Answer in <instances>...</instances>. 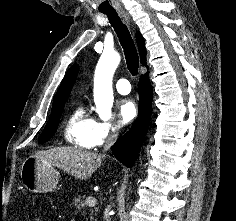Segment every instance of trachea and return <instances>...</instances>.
<instances>
[{
  "instance_id": "trachea-1",
  "label": "trachea",
  "mask_w": 236,
  "mask_h": 221,
  "mask_svg": "<svg viewBox=\"0 0 236 221\" xmlns=\"http://www.w3.org/2000/svg\"><path fill=\"white\" fill-rule=\"evenodd\" d=\"M103 13L107 15L124 49L128 70L133 76L137 75L139 68V56L127 26L122 23L116 11Z\"/></svg>"
}]
</instances>
